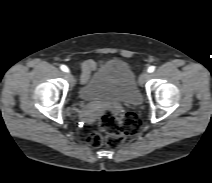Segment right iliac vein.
Segmentation results:
<instances>
[{"mask_svg": "<svg viewBox=\"0 0 212 183\" xmlns=\"http://www.w3.org/2000/svg\"><path fill=\"white\" fill-rule=\"evenodd\" d=\"M68 77H69V80L71 81V83L74 84L75 83L74 77L71 74H69Z\"/></svg>", "mask_w": 212, "mask_h": 183, "instance_id": "63e3f726", "label": "right iliac vein"}]
</instances>
